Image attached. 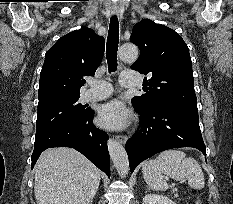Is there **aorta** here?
I'll return each instance as SVG.
<instances>
[{"mask_svg":"<svg viewBox=\"0 0 233 204\" xmlns=\"http://www.w3.org/2000/svg\"><path fill=\"white\" fill-rule=\"evenodd\" d=\"M118 55L122 61L134 62L138 58V48L133 44H124L120 47ZM108 150L116 170L124 177L129 170V160L124 147L118 141L109 139Z\"/></svg>","mask_w":233,"mask_h":204,"instance_id":"762f6f07","label":"aorta"}]
</instances>
